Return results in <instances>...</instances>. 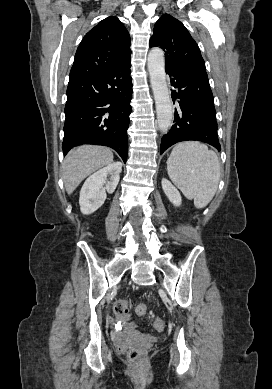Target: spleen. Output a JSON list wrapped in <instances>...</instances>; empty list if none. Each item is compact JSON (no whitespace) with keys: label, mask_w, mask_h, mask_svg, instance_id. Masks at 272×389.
I'll list each match as a JSON object with an SVG mask.
<instances>
[{"label":"spleen","mask_w":272,"mask_h":389,"mask_svg":"<svg viewBox=\"0 0 272 389\" xmlns=\"http://www.w3.org/2000/svg\"><path fill=\"white\" fill-rule=\"evenodd\" d=\"M167 171L184 196L189 200L194 199L196 208L205 207L218 188V157L214 151L199 142L177 144L167 160Z\"/></svg>","instance_id":"1"}]
</instances>
